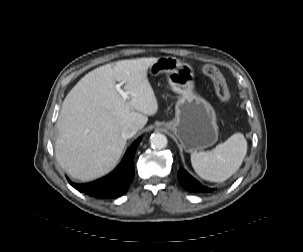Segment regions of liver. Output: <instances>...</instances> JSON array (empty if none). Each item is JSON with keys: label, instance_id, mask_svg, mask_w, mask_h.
Wrapping results in <instances>:
<instances>
[{"label": "liver", "instance_id": "obj_1", "mask_svg": "<svg viewBox=\"0 0 303 252\" xmlns=\"http://www.w3.org/2000/svg\"><path fill=\"white\" fill-rule=\"evenodd\" d=\"M157 58L120 60L87 73L62 104L56 127L55 157L72 178L90 181L118 163L127 139L121 131L134 124L142 129L158 110L147 71ZM125 83L128 101L115 89Z\"/></svg>", "mask_w": 303, "mask_h": 252}]
</instances>
